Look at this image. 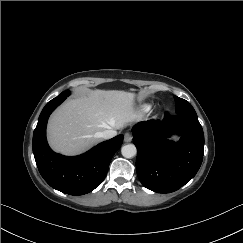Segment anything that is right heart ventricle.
Here are the masks:
<instances>
[{"label":"right heart ventricle","mask_w":243,"mask_h":243,"mask_svg":"<svg viewBox=\"0 0 243 243\" xmlns=\"http://www.w3.org/2000/svg\"><path fill=\"white\" fill-rule=\"evenodd\" d=\"M150 109V106L149 105H145L144 107H143V110L144 111H148Z\"/></svg>","instance_id":"obj_1"}]
</instances>
